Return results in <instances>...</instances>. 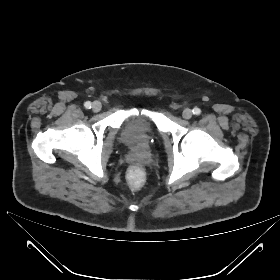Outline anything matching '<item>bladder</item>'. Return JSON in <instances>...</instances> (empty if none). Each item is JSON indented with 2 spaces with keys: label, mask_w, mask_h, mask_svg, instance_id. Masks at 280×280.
Wrapping results in <instances>:
<instances>
[{
  "label": "bladder",
  "mask_w": 280,
  "mask_h": 280,
  "mask_svg": "<svg viewBox=\"0 0 280 280\" xmlns=\"http://www.w3.org/2000/svg\"><path fill=\"white\" fill-rule=\"evenodd\" d=\"M118 137L133 151L142 152L149 149L156 138L151 113L139 109L136 113L127 114L122 120Z\"/></svg>",
  "instance_id": "obj_1"
}]
</instances>
